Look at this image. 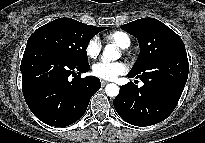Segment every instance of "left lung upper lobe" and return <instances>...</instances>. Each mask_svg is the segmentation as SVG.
I'll use <instances>...</instances> for the list:
<instances>
[{
    "label": "left lung upper lobe",
    "instance_id": "left-lung-upper-lobe-1",
    "mask_svg": "<svg viewBox=\"0 0 205 143\" xmlns=\"http://www.w3.org/2000/svg\"><path fill=\"white\" fill-rule=\"evenodd\" d=\"M121 28L135 36L140 45V54L130 73L139 74L168 53L185 50L182 39L155 18L138 19L121 25Z\"/></svg>",
    "mask_w": 205,
    "mask_h": 143
}]
</instances>
